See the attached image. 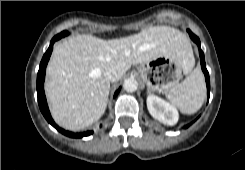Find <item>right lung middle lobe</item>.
I'll use <instances>...</instances> for the list:
<instances>
[{
	"instance_id": "1",
	"label": "right lung middle lobe",
	"mask_w": 245,
	"mask_h": 170,
	"mask_svg": "<svg viewBox=\"0 0 245 170\" xmlns=\"http://www.w3.org/2000/svg\"><path fill=\"white\" fill-rule=\"evenodd\" d=\"M68 34H69V33H68L67 31H63V32H61L60 34H58V38L67 36Z\"/></svg>"
}]
</instances>
